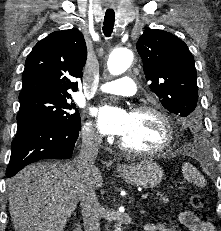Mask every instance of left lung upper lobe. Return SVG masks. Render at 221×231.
I'll return each mask as SVG.
<instances>
[{"instance_id":"obj_1","label":"left lung upper lobe","mask_w":221,"mask_h":231,"mask_svg":"<svg viewBox=\"0 0 221 231\" xmlns=\"http://www.w3.org/2000/svg\"><path fill=\"white\" fill-rule=\"evenodd\" d=\"M150 89L171 113L187 117L197 106L194 58L187 45L163 30H146L137 42Z\"/></svg>"}]
</instances>
